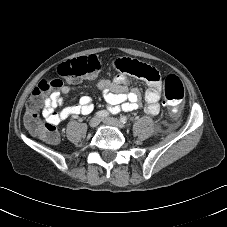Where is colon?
<instances>
[{"instance_id": "5ec220e1", "label": "colon", "mask_w": 227, "mask_h": 227, "mask_svg": "<svg viewBox=\"0 0 227 227\" xmlns=\"http://www.w3.org/2000/svg\"><path fill=\"white\" fill-rule=\"evenodd\" d=\"M104 68V63L96 55H87L80 58L70 59L64 62L59 68V74L72 80H79L87 76H94ZM127 70L129 73L148 80L158 78L157 71L150 65L131 60ZM62 81L56 77H48L38 83L30 95L26 105L25 125L36 136L49 144H56L59 140V133L55 126L42 123L38 109L45 102L48 91L58 89ZM165 103L172 109H178L184 98V87L180 78L175 74H168L164 81Z\"/></svg>"}]
</instances>
